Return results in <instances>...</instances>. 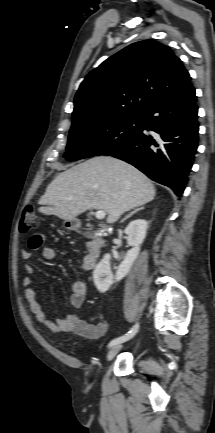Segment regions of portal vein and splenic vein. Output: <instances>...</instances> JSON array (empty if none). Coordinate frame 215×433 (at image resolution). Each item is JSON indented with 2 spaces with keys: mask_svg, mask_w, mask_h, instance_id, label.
<instances>
[{
  "mask_svg": "<svg viewBox=\"0 0 215 433\" xmlns=\"http://www.w3.org/2000/svg\"><path fill=\"white\" fill-rule=\"evenodd\" d=\"M105 216H106V212H105V211H101V210H99V211H97V212L95 213V217H96L97 219H99V220L104 219Z\"/></svg>",
  "mask_w": 215,
  "mask_h": 433,
  "instance_id": "18ae733b",
  "label": "portal vein and splenic vein"
}]
</instances>
